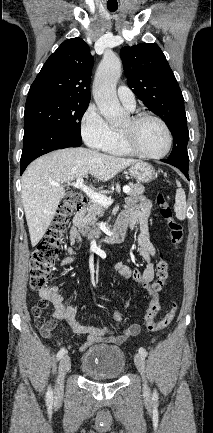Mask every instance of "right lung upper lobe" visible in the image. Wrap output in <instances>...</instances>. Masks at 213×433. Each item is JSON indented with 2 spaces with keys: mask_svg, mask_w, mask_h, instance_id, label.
Listing matches in <instances>:
<instances>
[{
  "mask_svg": "<svg viewBox=\"0 0 213 433\" xmlns=\"http://www.w3.org/2000/svg\"><path fill=\"white\" fill-rule=\"evenodd\" d=\"M93 57L81 38L64 41L48 58L28 97L51 96L90 101Z\"/></svg>",
  "mask_w": 213,
  "mask_h": 433,
  "instance_id": "1",
  "label": "right lung upper lobe"
}]
</instances>
